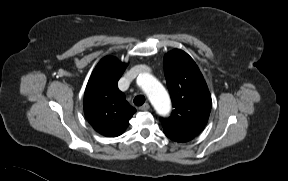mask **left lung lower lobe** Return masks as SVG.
Listing matches in <instances>:
<instances>
[{
    "label": "left lung lower lobe",
    "mask_w": 288,
    "mask_h": 181,
    "mask_svg": "<svg viewBox=\"0 0 288 181\" xmlns=\"http://www.w3.org/2000/svg\"><path fill=\"white\" fill-rule=\"evenodd\" d=\"M172 139L173 141H176V142H187L189 140H191V138H170Z\"/></svg>",
    "instance_id": "left-lung-lower-lobe-1"
}]
</instances>
